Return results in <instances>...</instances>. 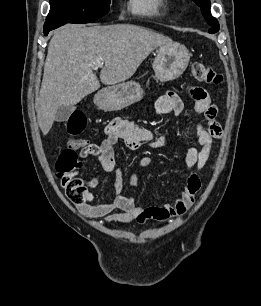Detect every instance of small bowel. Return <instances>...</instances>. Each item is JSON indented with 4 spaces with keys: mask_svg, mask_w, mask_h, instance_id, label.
Returning <instances> with one entry per match:
<instances>
[{
    "mask_svg": "<svg viewBox=\"0 0 261 306\" xmlns=\"http://www.w3.org/2000/svg\"><path fill=\"white\" fill-rule=\"evenodd\" d=\"M190 94L194 99V111L203 117L202 122L195 125V132L200 148L190 146L184 154V164L187 173V183L180 196L173 204L139 206L131 197L124 196L122 171L116 168L114 146L123 140L130 151H135L144 145L164 147L169 139L157 136L153 131L136 126L134 123L115 119L106 127V138L102 141L98 161L106 172H116L114 182V196L112 201L93 203V193L85 187L83 201L78 204V209L85 216L93 219H104L105 222L129 223L137 221L144 223L148 220L167 221L171 218L185 215L193 206L195 195L200 189L199 171L206 165L214 139L222 137V128L216 121L217 107L211 103L210 97L202 88H192ZM155 108L161 114L180 115L184 111L182 99L174 92L160 96ZM83 157L87 153L81 152ZM151 163L149 157L140 159L135 171L130 178V185L135 187L138 182V170ZM92 181L91 184H93Z\"/></svg>",
    "mask_w": 261,
    "mask_h": 306,
    "instance_id": "1",
    "label": "small bowel"
}]
</instances>
